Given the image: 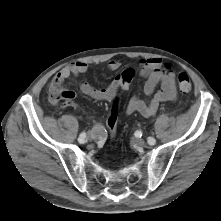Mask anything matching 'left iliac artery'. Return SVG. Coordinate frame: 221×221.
<instances>
[{"label":"left iliac artery","instance_id":"left-iliac-artery-1","mask_svg":"<svg viewBox=\"0 0 221 221\" xmlns=\"http://www.w3.org/2000/svg\"><path fill=\"white\" fill-rule=\"evenodd\" d=\"M147 141H148V144H150V145H154L155 144L153 142V137H149Z\"/></svg>","mask_w":221,"mask_h":221}]
</instances>
